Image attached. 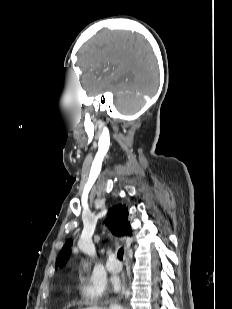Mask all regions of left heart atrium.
I'll return each instance as SVG.
<instances>
[{
  "label": "left heart atrium",
  "mask_w": 232,
  "mask_h": 309,
  "mask_svg": "<svg viewBox=\"0 0 232 309\" xmlns=\"http://www.w3.org/2000/svg\"><path fill=\"white\" fill-rule=\"evenodd\" d=\"M114 285H115L116 290H118V291L122 290L121 284L119 282L115 281Z\"/></svg>",
  "instance_id": "39dd6f15"
}]
</instances>
